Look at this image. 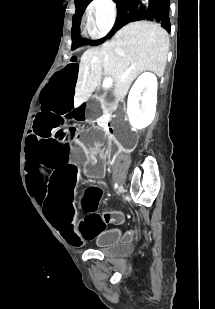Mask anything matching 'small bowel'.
Segmentation results:
<instances>
[{
	"label": "small bowel",
	"instance_id": "obj_1",
	"mask_svg": "<svg viewBox=\"0 0 215 309\" xmlns=\"http://www.w3.org/2000/svg\"><path fill=\"white\" fill-rule=\"evenodd\" d=\"M125 239H129V236H126Z\"/></svg>",
	"mask_w": 215,
	"mask_h": 309
}]
</instances>
